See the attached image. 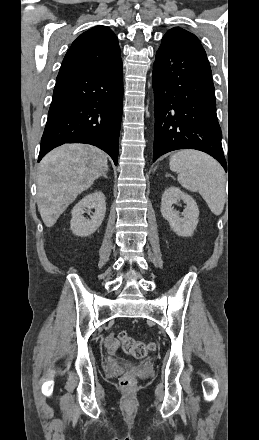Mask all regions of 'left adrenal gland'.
Returning <instances> with one entry per match:
<instances>
[{
	"instance_id": "a2214340",
	"label": "left adrenal gland",
	"mask_w": 259,
	"mask_h": 440,
	"mask_svg": "<svg viewBox=\"0 0 259 440\" xmlns=\"http://www.w3.org/2000/svg\"><path fill=\"white\" fill-rule=\"evenodd\" d=\"M166 176H167V177H170L171 175H170V174H168V173H166Z\"/></svg>"
}]
</instances>
